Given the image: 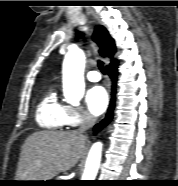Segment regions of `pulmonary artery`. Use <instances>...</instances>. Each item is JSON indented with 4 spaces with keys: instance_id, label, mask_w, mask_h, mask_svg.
Segmentation results:
<instances>
[{
    "instance_id": "pulmonary-artery-1",
    "label": "pulmonary artery",
    "mask_w": 178,
    "mask_h": 186,
    "mask_svg": "<svg viewBox=\"0 0 178 186\" xmlns=\"http://www.w3.org/2000/svg\"><path fill=\"white\" fill-rule=\"evenodd\" d=\"M86 77H87L88 80H90L92 82H96V81H99L101 79V76L97 71L87 72Z\"/></svg>"
}]
</instances>
